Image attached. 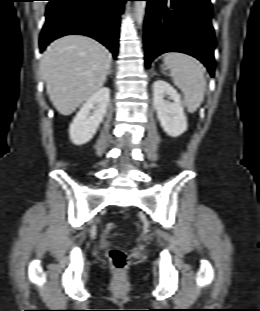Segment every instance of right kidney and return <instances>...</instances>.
Segmentation results:
<instances>
[{"mask_svg":"<svg viewBox=\"0 0 260 311\" xmlns=\"http://www.w3.org/2000/svg\"><path fill=\"white\" fill-rule=\"evenodd\" d=\"M109 102L110 89L102 87L83 104L70 124L69 135L73 144L82 145L93 138L103 121Z\"/></svg>","mask_w":260,"mask_h":311,"instance_id":"ca27d5eb","label":"right kidney"}]
</instances>
